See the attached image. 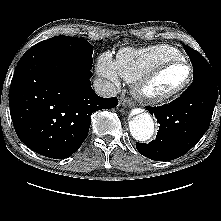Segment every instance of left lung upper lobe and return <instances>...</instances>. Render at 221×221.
Wrapping results in <instances>:
<instances>
[{
	"label": "left lung upper lobe",
	"instance_id": "1",
	"mask_svg": "<svg viewBox=\"0 0 221 221\" xmlns=\"http://www.w3.org/2000/svg\"><path fill=\"white\" fill-rule=\"evenodd\" d=\"M184 48L192 62L194 70L193 79L215 73L213 67H211L212 65H210L211 63L209 64L199 52L189 46H184Z\"/></svg>",
	"mask_w": 221,
	"mask_h": 221
}]
</instances>
